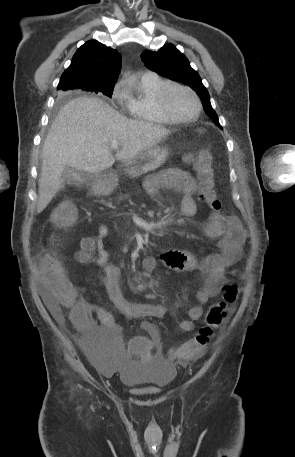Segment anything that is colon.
<instances>
[{
  "mask_svg": "<svg viewBox=\"0 0 295 457\" xmlns=\"http://www.w3.org/2000/svg\"><path fill=\"white\" fill-rule=\"evenodd\" d=\"M187 161L192 162L197 170L199 179V197L206 207L212 212L220 210L214 181V170L210 154L200 150L187 156ZM77 216L76 207L69 202L60 204L52 215V223L56 228L64 229L73 224ZM41 271L49 278L50 288L58 302L71 310V318L77 319L79 311V293L77 288L66 277L63 266L57 255L50 251L41 260ZM238 287L229 285L225 288L222 299L213 303L205 318V324L197 334L173 351L167 352L170 360H190L201 354L210 341L214 329L220 327L227 320L230 306L236 301ZM132 341H127L121 348V357L126 362H151L153 347L147 341V333L136 330L132 333Z\"/></svg>",
  "mask_w": 295,
  "mask_h": 457,
  "instance_id": "5ec220e1",
  "label": "colon"
}]
</instances>
